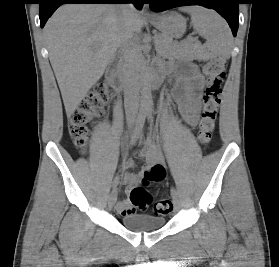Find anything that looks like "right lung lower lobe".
<instances>
[{
	"label": "right lung lower lobe",
	"mask_w": 279,
	"mask_h": 267,
	"mask_svg": "<svg viewBox=\"0 0 279 267\" xmlns=\"http://www.w3.org/2000/svg\"><path fill=\"white\" fill-rule=\"evenodd\" d=\"M64 3H133L141 9L143 0H40L39 17L40 25L43 27L53 12Z\"/></svg>",
	"instance_id": "1"
}]
</instances>
